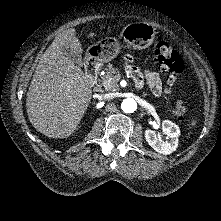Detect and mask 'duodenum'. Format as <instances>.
Masks as SVG:
<instances>
[{"label":"duodenum","mask_w":221,"mask_h":221,"mask_svg":"<svg viewBox=\"0 0 221 221\" xmlns=\"http://www.w3.org/2000/svg\"><path fill=\"white\" fill-rule=\"evenodd\" d=\"M98 64L95 61L94 58H88L86 61V65H85V73H86V77L87 79L91 82V83H95L97 80V76H98Z\"/></svg>","instance_id":"410a0bca"}]
</instances>
